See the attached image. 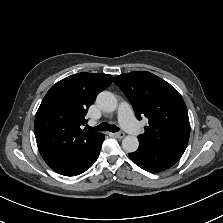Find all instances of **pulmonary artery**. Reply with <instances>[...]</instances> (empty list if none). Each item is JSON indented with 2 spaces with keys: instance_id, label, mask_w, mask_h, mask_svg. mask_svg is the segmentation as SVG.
I'll return each instance as SVG.
<instances>
[{
  "instance_id": "pulmonary-artery-1",
  "label": "pulmonary artery",
  "mask_w": 223,
  "mask_h": 223,
  "mask_svg": "<svg viewBox=\"0 0 223 223\" xmlns=\"http://www.w3.org/2000/svg\"><path fill=\"white\" fill-rule=\"evenodd\" d=\"M116 115L125 132L130 133L134 138H139L143 134L142 124L138 120L132 119V110L127 104H121Z\"/></svg>"
}]
</instances>
